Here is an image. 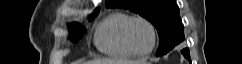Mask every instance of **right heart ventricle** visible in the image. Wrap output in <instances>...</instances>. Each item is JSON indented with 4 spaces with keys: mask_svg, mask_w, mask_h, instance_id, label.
I'll return each mask as SVG.
<instances>
[{
    "mask_svg": "<svg viewBox=\"0 0 242 64\" xmlns=\"http://www.w3.org/2000/svg\"><path fill=\"white\" fill-rule=\"evenodd\" d=\"M131 16L124 12L110 14L97 27L94 37L96 47L102 53L116 58H131L134 54L124 42L123 30Z\"/></svg>",
    "mask_w": 242,
    "mask_h": 64,
    "instance_id": "obj_1",
    "label": "right heart ventricle"
}]
</instances>
